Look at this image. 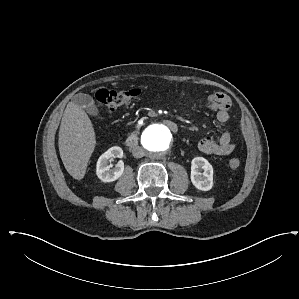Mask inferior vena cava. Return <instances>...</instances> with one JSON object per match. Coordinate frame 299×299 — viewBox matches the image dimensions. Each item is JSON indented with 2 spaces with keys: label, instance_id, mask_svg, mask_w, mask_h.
Returning a JSON list of instances; mask_svg holds the SVG:
<instances>
[{
  "label": "inferior vena cava",
  "instance_id": "obj_1",
  "mask_svg": "<svg viewBox=\"0 0 299 299\" xmlns=\"http://www.w3.org/2000/svg\"><path fill=\"white\" fill-rule=\"evenodd\" d=\"M132 155L135 157V158H141L145 155V151L142 147L140 146H135L132 148Z\"/></svg>",
  "mask_w": 299,
  "mask_h": 299
}]
</instances>
